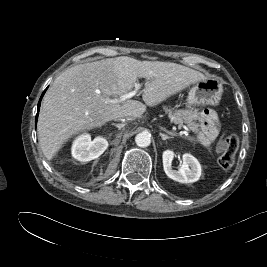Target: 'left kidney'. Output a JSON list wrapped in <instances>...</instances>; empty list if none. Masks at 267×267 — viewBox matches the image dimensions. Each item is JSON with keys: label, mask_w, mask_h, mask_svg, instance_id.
<instances>
[{"label": "left kidney", "mask_w": 267, "mask_h": 267, "mask_svg": "<svg viewBox=\"0 0 267 267\" xmlns=\"http://www.w3.org/2000/svg\"><path fill=\"white\" fill-rule=\"evenodd\" d=\"M175 154L171 150H165L162 155L163 168L166 175L174 181L180 183H193L201 176V165L199 161L189 153L182 156V165L178 170L172 168V160Z\"/></svg>", "instance_id": "5707ae66"}]
</instances>
